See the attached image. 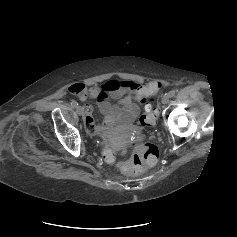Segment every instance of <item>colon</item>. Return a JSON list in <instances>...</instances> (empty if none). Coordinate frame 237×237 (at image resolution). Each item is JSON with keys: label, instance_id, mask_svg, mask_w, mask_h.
Wrapping results in <instances>:
<instances>
[{"label": "colon", "instance_id": "1", "mask_svg": "<svg viewBox=\"0 0 237 237\" xmlns=\"http://www.w3.org/2000/svg\"><path fill=\"white\" fill-rule=\"evenodd\" d=\"M162 87V82L152 81L146 86L148 96L156 95ZM158 115L157 109L147 104L145 111L140 117V124L143 126H153ZM159 157V150L156 145L152 143H138L135 145V153L132 159L128 162L119 164L120 170L128 175H134L142 172L144 169L153 166ZM104 158L108 162L115 160V155L111 150L104 152Z\"/></svg>", "mask_w": 237, "mask_h": 237}]
</instances>
